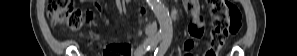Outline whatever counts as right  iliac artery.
<instances>
[{
    "mask_svg": "<svg viewBox=\"0 0 297 56\" xmlns=\"http://www.w3.org/2000/svg\"><path fill=\"white\" fill-rule=\"evenodd\" d=\"M164 38V36L162 34H158L152 41L150 42H146L144 44H142L141 46H139L136 50H135V55L136 56H142L143 54H145L148 50H150L151 46L154 45L155 43H158L159 41H161Z\"/></svg>",
    "mask_w": 297,
    "mask_h": 56,
    "instance_id": "obj_1",
    "label": "right iliac artery"
}]
</instances>
